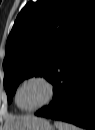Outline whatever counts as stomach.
Wrapping results in <instances>:
<instances>
[{
	"label": "stomach",
	"mask_w": 95,
	"mask_h": 130,
	"mask_svg": "<svg viewBox=\"0 0 95 130\" xmlns=\"http://www.w3.org/2000/svg\"><path fill=\"white\" fill-rule=\"evenodd\" d=\"M16 130H55L50 122L44 118L33 117Z\"/></svg>",
	"instance_id": "1"
}]
</instances>
